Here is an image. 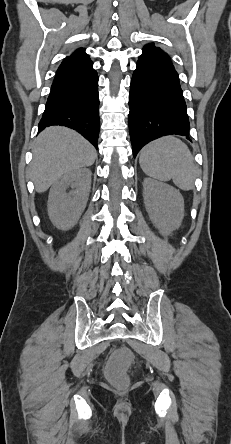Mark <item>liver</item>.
Segmentation results:
<instances>
[{"label":"liver","instance_id":"1","mask_svg":"<svg viewBox=\"0 0 231 444\" xmlns=\"http://www.w3.org/2000/svg\"><path fill=\"white\" fill-rule=\"evenodd\" d=\"M96 149L77 132L60 126L42 131L33 148L31 180L38 193L45 192L63 175L91 166Z\"/></svg>","mask_w":231,"mask_h":444}]
</instances>
